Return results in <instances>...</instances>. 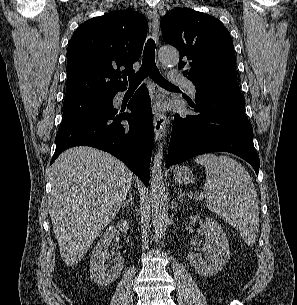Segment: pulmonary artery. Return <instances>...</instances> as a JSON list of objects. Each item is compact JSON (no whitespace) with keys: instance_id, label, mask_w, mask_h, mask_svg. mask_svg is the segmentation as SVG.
<instances>
[{"instance_id":"obj_1","label":"pulmonary artery","mask_w":297,"mask_h":305,"mask_svg":"<svg viewBox=\"0 0 297 305\" xmlns=\"http://www.w3.org/2000/svg\"><path fill=\"white\" fill-rule=\"evenodd\" d=\"M171 81H172L173 83L183 85V86L187 89L188 93H189L192 97H194V96L196 95V87H195V85H194L192 82L188 81V80H187L185 77H183L180 73L174 72V73L172 74V76H171Z\"/></svg>"}]
</instances>
